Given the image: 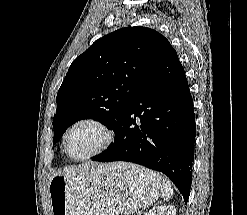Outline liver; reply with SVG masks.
Wrapping results in <instances>:
<instances>
[{"mask_svg":"<svg viewBox=\"0 0 247 215\" xmlns=\"http://www.w3.org/2000/svg\"><path fill=\"white\" fill-rule=\"evenodd\" d=\"M102 164H97V163H86L82 166H74V167H70V168H66L63 171H57L53 176H51L49 178V180H51L54 176L57 175H64V176H75L77 174H83L86 170H88L91 167H101Z\"/></svg>","mask_w":247,"mask_h":215,"instance_id":"6515ba94","label":"liver"}]
</instances>
